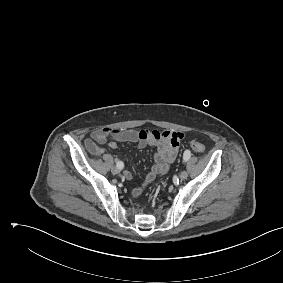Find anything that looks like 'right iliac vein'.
Here are the masks:
<instances>
[{"instance_id":"obj_1","label":"right iliac vein","mask_w":283,"mask_h":283,"mask_svg":"<svg viewBox=\"0 0 283 283\" xmlns=\"http://www.w3.org/2000/svg\"><path fill=\"white\" fill-rule=\"evenodd\" d=\"M111 172H112L113 174H118V173L120 172V169H119L118 167H116V166H113V167L111 168Z\"/></svg>"}]
</instances>
